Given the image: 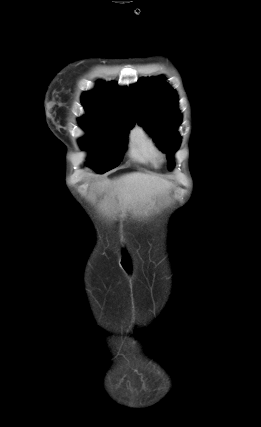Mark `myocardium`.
<instances>
[{
    "mask_svg": "<svg viewBox=\"0 0 261 427\" xmlns=\"http://www.w3.org/2000/svg\"><path fill=\"white\" fill-rule=\"evenodd\" d=\"M158 159H159V161H162L163 160V154L159 153L158 154Z\"/></svg>",
    "mask_w": 261,
    "mask_h": 427,
    "instance_id": "obj_1",
    "label": "myocardium"
}]
</instances>
